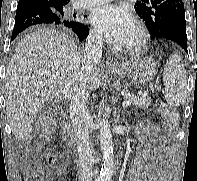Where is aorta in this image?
Listing matches in <instances>:
<instances>
[{"label": "aorta", "mask_w": 197, "mask_h": 181, "mask_svg": "<svg viewBox=\"0 0 197 181\" xmlns=\"http://www.w3.org/2000/svg\"><path fill=\"white\" fill-rule=\"evenodd\" d=\"M100 144L103 164L96 181H111L114 172V154L112 135L107 118H104L100 123Z\"/></svg>", "instance_id": "aorta-1"}]
</instances>
